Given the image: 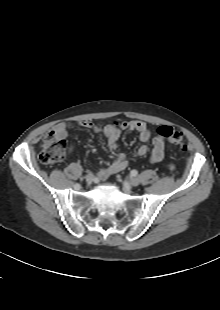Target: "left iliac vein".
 Returning <instances> with one entry per match:
<instances>
[{"label":"left iliac vein","mask_w":220,"mask_h":310,"mask_svg":"<svg viewBox=\"0 0 220 310\" xmlns=\"http://www.w3.org/2000/svg\"><path fill=\"white\" fill-rule=\"evenodd\" d=\"M139 183H140V181H139V179L136 178V177L130 179V184H131L132 186H138Z\"/></svg>","instance_id":"obj_1"}]
</instances>
